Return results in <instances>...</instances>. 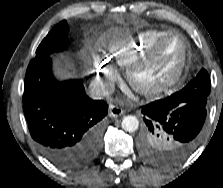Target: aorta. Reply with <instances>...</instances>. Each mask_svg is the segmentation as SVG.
<instances>
[{
    "label": "aorta",
    "instance_id": "1",
    "mask_svg": "<svg viewBox=\"0 0 223 188\" xmlns=\"http://www.w3.org/2000/svg\"><path fill=\"white\" fill-rule=\"evenodd\" d=\"M121 126L126 132H135L139 127V121L137 117L128 115L123 118Z\"/></svg>",
    "mask_w": 223,
    "mask_h": 188
}]
</instances>
